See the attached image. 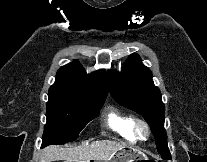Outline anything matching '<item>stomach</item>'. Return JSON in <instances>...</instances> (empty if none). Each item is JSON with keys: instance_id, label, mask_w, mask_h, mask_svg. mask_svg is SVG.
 <instances>
[{"instance_id": "obj_1", "label": "stomach", "mask_w": 207, "mask_h": 162, "mask_svg": "<svg viewBox=\"0 0 207 162\" xmlns=\"http://www.w3.org/2000/svg\"><path fill=\"white\" fill-rule=\"evenodd\" d=\"M142 160H148V159L143 153L139 152L138 150L129 146H125L120 150H118L112 156V159L104 162H137Z\"/></svg>"}]
</instances>
